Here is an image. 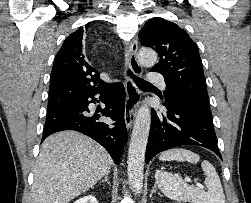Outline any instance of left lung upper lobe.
Instances as JSON below:
<instances>
[{
    "label": "left lung upper lobe",
    "instance_id": "5c2ea615",
    "mask_svg": "<svg viewBox=\"0 0 251 203\" xmlns=\"http://www.w3.org/2000/svg\"><path fill=\"white\" fill-rule=\"evenodd\" d=\"M144 46L155 49L159 62L151 71L164 76L165 100L185 96L209 108L203 65L196 43L175 23L162 18L148 20L139 33Z\"/></svg>",
    "mask_w": 251,
    "mask_h": 203
}]
</instances>
